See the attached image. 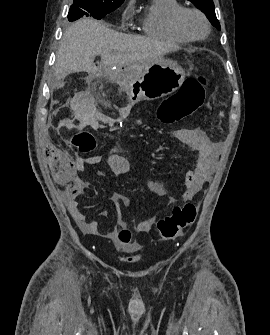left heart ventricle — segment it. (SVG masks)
I'll return each mask as SVG.
<instances>
[{
	"instance_id": "obj_1",
	"label": "left heart ventricle",
	"mask_w": 270,
	"mask_h": 335,
	"mask_svg": "<svg viewBox=\"0 0 270 335\" xmlns=\"http://www.w3.org/2000/svg\"><path fill=\"white\" fill-rule=\"evenodd\" d=\"M184 26L193 37H202L205 33V24L201 17L195 13H188L184 17Z\"/></svg>"
}]
</instances>
